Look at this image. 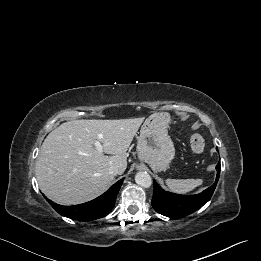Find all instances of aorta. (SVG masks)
<instances>
[{"instance_id":"aorta-1","label":"aorta","mask_w":261,"mask_h":261,"mask_svg":"<svg viewBox=\"0 0 261 261\" xmlns=\"http://www.w3.org/2000/svg\"><path fill=\"white\" fill-rule=\"evenodd\" d=\"M135 182L144 188H149L152 185V178L147 172H138L135 175Z\"/></svg>"}]
</instances>
